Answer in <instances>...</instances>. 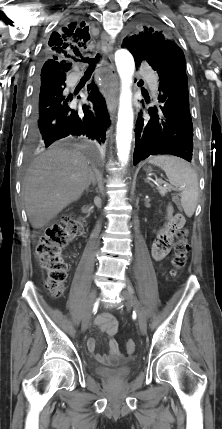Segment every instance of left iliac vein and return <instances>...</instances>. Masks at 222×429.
Segmentation results:
<instances>
[{
    "mask_svg": "<svg viewBox=\"0 0 222 429\" xmlns=\"http://www.w3.org/2000/svg\"><path fill=\"white\" fill-rule=\"evenodd\" d=\"M121 295L125 299L126 303L133 306L134 309L136 310L137 317H138V325H139L140 331L142 332V334H145L146 330H147L146 318H145L144 313H143V311L139 305V302L137 301L136 297L134 296V294L132 292V288L129 287L128 290H123L121 292Z\"/></svg>",
    "mask_w": 222,
    "mask_h": 429,
    "instance_id": "4c4485c4",
    "label": "left iliac vein"
}]
</instances>
